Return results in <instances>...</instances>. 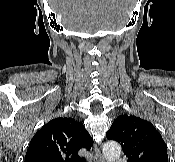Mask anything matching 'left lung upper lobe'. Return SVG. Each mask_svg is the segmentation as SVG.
<instances>
[{
  "instance_id": "left-lung-upper-lobe-1",
  "label": "left lung upper lobe",
  "mask_w": 175,
  "mask_h": 162,
  "mask_svg": "<svg viewBox=\"0 0 175 162\" xmlns=\"http://www.w3.org/2000/svg\"><path fill=\"white\" fill-rule=\"evenodd\" d=\"M118 141L127 162H168L167 146L150 122L136 116H119L106 133Z\"/></svg>"
}]
</instances>
